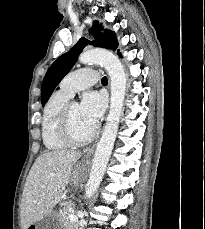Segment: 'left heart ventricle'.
Returning <instances> with one entry per match:
<instances>
[{"label": "left heart ventricle", "mask_w": 205, "mask_h": 229, "mask_svg": "<svg viewBox=\"0 0 205 229\" xmlns=\"http://www.w3.org/2000/svg\"><path fill=\"white\" fill-rule=\"evenodd\" d=\"M71 128L77 138L86 137L93 129V125L88 123L83 117L79 104H74L70 111Z\"/></svg>", "instance_id": "1"}]
</instances>
